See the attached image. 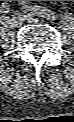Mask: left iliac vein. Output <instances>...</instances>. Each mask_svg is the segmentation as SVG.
Segmentation results:
<instances>
[{
    "instance_id": "4c4485c4",
    "label": "left iliac vein",
    "mask_w": 74,
    "mask_h": 122,
    "mask_svg": "<svg viewBox=\"0 0 74 122\" xmlns=\"http://www.w3.org/2000/svg\"><path fill=\"white\" fill-rule=\"evenodd\" d=\"M23 20H26L27 22H34V23H37L40 21L39 18L37 17H34L30 14H26L25 12L24 13H20L18 14Z\"/></svg>"
}]
</instances>
